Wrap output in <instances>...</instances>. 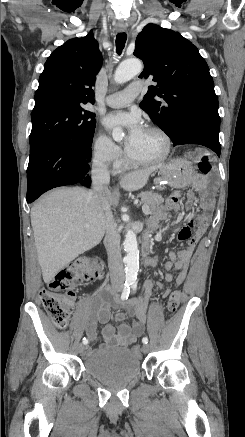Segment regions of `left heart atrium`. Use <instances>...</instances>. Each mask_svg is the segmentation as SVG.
<instances>
[{"mask_svg":"<svg viewBox=\"0 0 245 437\" xmlns=\"http://www.w3.org/2000/svg\"><path fill=\"white\" fill-rule=\"evenodd\" d=\"M104 124L110 131L124 128L126 137L124 145L129 150L132 148L143 132L140 117L136 114L119 112L106 117Z\"/></svg>","mask_w":245,"mask_h":437,"instance_id":"left-heart-atrium-1","label":"left heart atrium"}]
</instances>
